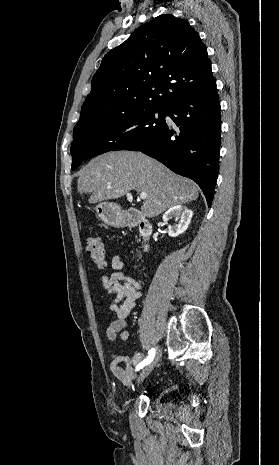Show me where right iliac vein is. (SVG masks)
<instances>
[{"instance_id": "obj_1", "label": "right iliac vein", "mask_w": 279, "mask_h": 465, "mask_svg": "<svg viewBox=\"0 0 279 465\" xmlns=\"http://www.w3.org/2000/svg\"><path fill=\"white\" fill-rule=\"evenodd\" d=\"M159 358H160V350L157 351L152 361L149 364H147L146 367L141 371L138 377V383L143 381L152 372V370L158 363Z\"/></svg>"}]
</instances>
